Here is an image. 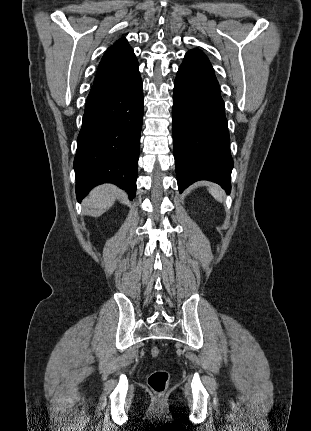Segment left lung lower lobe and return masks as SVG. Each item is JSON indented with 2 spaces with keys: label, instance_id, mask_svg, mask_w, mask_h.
I'll use <instances>...</instances> for the list:
<instances>
[{
  "label": "left lung lower lobe",
  "instance_id": "1",
  "mask_svg": "<svg viewBox=\"0 0 311 431\" xmlns=\"http://www.w3.org/2000/svg\"><path fill=\"white\" fill-rule=\"evenodd\" d=\"M173 142L179 192L198 180L231 190L233 159L224 102L213 68L200 50L186 53L173 94Z\"/></svg>",
  "mask_w": 311,
  "mask_h": 431
}]
</instances>
